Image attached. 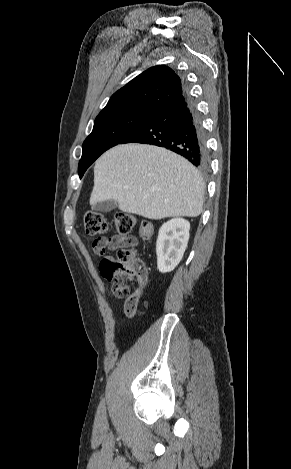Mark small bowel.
<instances>
[{
  "instance_id": "obj_1",
  "label": "small bowel",
  "mask_w": 291,
  "mask_h": 469,
  "mask_svg": "<svg viewBox=\"0 0 291 469\" xmlns=\"http://www.w3.org/2000/svg\"><path fill=\"white\" fill-rule=\"evenodd\" d=\"M146 281H147V275L143 279L140 280L141 285H145Z\"/></svg>"
}]
</instances>
